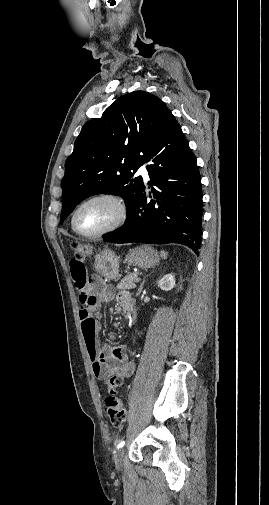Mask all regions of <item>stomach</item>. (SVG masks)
Segmentation results:
<instances>
[{"mask_svg":"<svg viewBox=\"0 0 269 505\" xmlns=\"http://www.w3.org/2000/svg\"><path fill=\"white\" fill-rule=\"evenodd\" d=\"M157 251L149 245L131 249L126 257L129 265L140 268H151L159 263ZM119 257L114 251L105 249L95 256V270L107 280H114L119 274Z\"/></svg>","mask_w":269,"mask_h":505,"instance_id":"stomach-1","label":"stomach"}]
</instances>
